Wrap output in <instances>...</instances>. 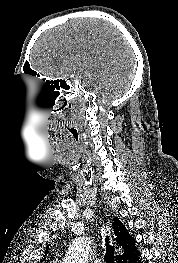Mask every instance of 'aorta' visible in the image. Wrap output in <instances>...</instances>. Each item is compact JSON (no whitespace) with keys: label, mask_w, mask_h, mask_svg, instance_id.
Returning <instances> with one entry per match:
<instances>
[{"label":"aorta","mask_w":178,"mask_h":263,"mask_svg":"<svg viewBox=\"0 0 178 263\" xmlns=\"http://www.w3.org/2000/svg\"><path fill=\"white\" fill-rule=\"evenodd\" d=\"M91 250V240L88 237L76 238L62 263H86Z\"/></svg>","instance_id":"obj_1"}]
</instances>
